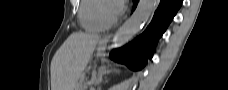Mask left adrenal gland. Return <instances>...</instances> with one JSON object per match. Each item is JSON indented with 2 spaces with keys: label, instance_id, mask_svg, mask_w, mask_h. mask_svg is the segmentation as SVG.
<instances>
[{
  "label": "left adrenal gland",
  "instance_id": "1",
  "mask_svg": "<svg viewBox=\"0 0 228 90\" xmlns=\"http://www.w3.org/2000/svg\"><path fill=\"white\" fill-rule=\"evenodd\" d=\"M114 71L115 70H112V69H101V70H99L98 75H97V78L94 79L93 84L95 86L96 85H99L102 82L104 75L110 74V73H112Z\"/></svg>",
  "mask_w": 228,
  "mask_h": 90
}]
</instances>
